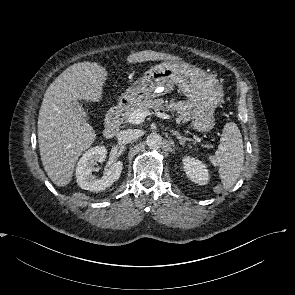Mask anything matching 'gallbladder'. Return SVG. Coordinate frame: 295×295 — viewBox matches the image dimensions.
I'll return each instance as SVG.
<instances>
[{
    "label": "gallbladder",
    "mask_w": 295,
    "mask_h": 295,
    "mask_svg": "<svg viewBox=\"0 0 295 295\" xmlns=\"http://www.w3.org/2000/svg\"><path fill=\"white\" fill-rule=\"evenodd\" d=\"M75 109L81 114V115H85V111L83 109V107L79 104V103H74L73 104Z\"/></svg>",
    "instance_id": "1"
}]
</instances>
